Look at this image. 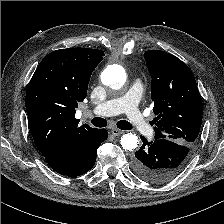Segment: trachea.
<instances>
[{
    "instance_id": "3493384b",
    "label": "trachea",
    "mask_w": 224,
    "mask_h": 224,
    "mask_svg": "<svg viewBox=\"0 0 224 224\" xmlns=\"http://www.w3.org/2000/svg\"><path fill=\"white\" fill-rule=\"evenodd\" d=\"M91 123L96 127H106L107 121L104 118L95 117L91 120ZM117 127L121 130H131L132 125L126 120H120L117 122Z\"/></svg>"
}]
</instances>
